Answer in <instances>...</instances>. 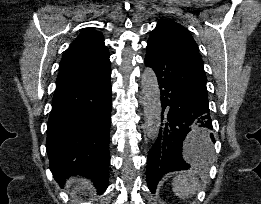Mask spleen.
Instances as JSON below:
<instances>
[{"label": "spleen", "instance_id": "1", "mask_svg": "<svg viewBox=\"0 0 261 204\" xmlns=\"http://www.w3.org/2000/svg\"><path fill=\"white\" fill-rule=\"evenodd\" d=\"M193 135H196L193 134ZM197 147L204 150V153L211 151V142L208 139H201ZM198 180L192 170L181 172L172 182V190L180 199L189 198L197 189Z\"/></svg>", "mask_w": 261, "mask_h": 204}]
</instances>
